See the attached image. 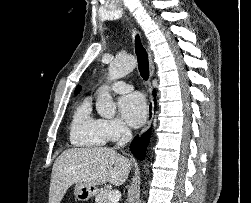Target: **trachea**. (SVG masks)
Returning <instances> with one entry per match:
<instances>
[{
  "label": "trachea",
  "mask_w": 251,
  "mask_h": 203,
  "mask_svg": "<svg viewBox=\"0 0 251 203\" xmlns=\"http://www.w3.org/2000/svg\"><path fill=\"white\" fill-rule=\"evenodd\" d=\"M135 51L138 59V69L140 75L144 80H148L149 78L148 54L138 35H136L135 38Z\"/></svg>",
  "instance_id": "1"
}]
</instances>
